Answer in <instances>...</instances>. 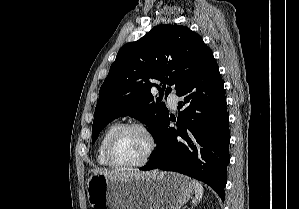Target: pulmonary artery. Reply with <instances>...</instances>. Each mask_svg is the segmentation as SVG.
I'll return each mask as SVG.
<instances>
[{"label": "pulmonary artery", "mask_w": 299, "mask_h": 209, "mask_svg": "<svg viewBox=\"0 0 299 209\" xmlns=\"http://www.w3.org/2000/svg\"><path fill=\"white\" fill-rule=\"evenodd\" d=\"M179 97L174 93L170 92L167 96V102L172 109H176L178 105Z\"/></svg>", "instance_id": "pulmonary-artery-1"}]
</instances>
